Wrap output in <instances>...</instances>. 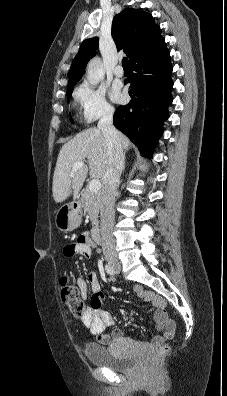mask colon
I'll return each instance as SVG.
<instances>
[{"label": "colon", "instance_id": "5ec220e1", "mask_svg": "<svg viewBox=\"0 0 227 396\" xmlns=\"http://www.w3.org/2000/svg\"><path fill=\"white\" fill-rule=\"evenodd\" d=\"M60 285H61V298L63 303L70 309V311L74 315L79 317L83 316L86 311V307L80 297L78 288L70 282L68 276L66 275L62 276L60 280ZM167 351H168V346L162 345L155 352L152 361L154 363L157 362L159 357L162 356Z\"/></svg>", "mask_w": 227, "mask_h": 396}]
</instances>
